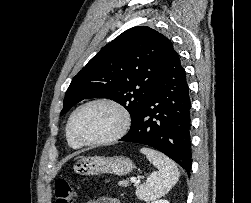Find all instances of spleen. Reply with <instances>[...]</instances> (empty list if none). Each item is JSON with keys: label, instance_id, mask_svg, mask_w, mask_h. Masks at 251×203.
<instances>
[{"label": "spleen", "instance_id": "3e777b00", "mask_svg": "<svg viewBox=\"0 0 251 203\" xmlns=\"http://www.w3.org/2000/svg\"><path fill=\"white\" fill-rule=\"evenodd\" d=\"M140 152L158 169L136 190L137 197L149 203L171 190L179 179V171L176 164L161 152L148 147L141 148Z\"/></svg>", "mask_w": 251, "mask_h": 203}]
</instances>
